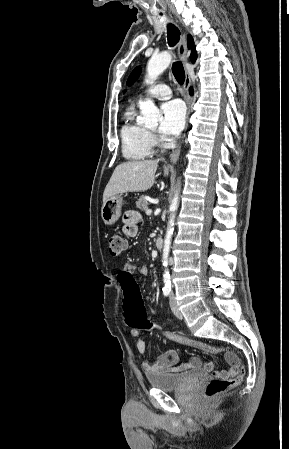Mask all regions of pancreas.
<instances>
[{
    "label": "pancreas",
    "mask_w": 289,
    "mask_h": 449,
    "mask_svg": "<svg viewBox=\"0 0 289 449\" xmlns=\"http://www.w3.org/2000/svg\"><path fill=\"white\" fill-rule=\"evenodd\" d=\"M136 206L138 209H140L141 211H146L148 209V201H147V196H141L137 202H136Z\"/></svg>",
    "instance_id": "pancreas-1"
}]
</instances>
